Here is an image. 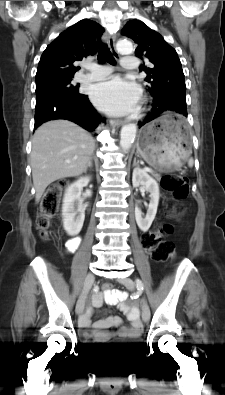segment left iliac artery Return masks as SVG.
<instances>
[{
    "mask_svg": "<svg viewBox=\"0 0 225 395\" xmlns=\"http://www.w3.org/2000/svg\"><path fill=\"white\" fill-rule=\"evenodd\" d=\"M136 285L138 290H144V285L140 279H136Z\"/></svg>",
    "mask_w": 225,
    "mask_h": 395,
    "instance_id": "44dca946",
    "label": "left iliac artery"
}]
</instances>
